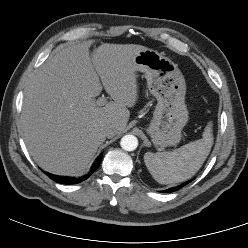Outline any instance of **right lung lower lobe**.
Here are the masks:
<instances>
[{
  "label": "right lung lower lobe",
  "instance_id": "right-lung-lower-lobe-1",
  "mask_svg": "<svg viewBox=\"0 0 248 248\" xmlns=\"http://www.w3.org/2000/svg\"><path fill=\"white\" fill-rule=\"evenodd\" d=\"M102 160V154H100L97 159L95 160V162L93 163L91 170L89 171V173L87 175H84L82 177L79 178H73V177H66V176H57V175H53L50 173H46V175L49 176L50 179H52L55 182L61 183V184H77L80 183L86 179H88L99 167L100 163Z\"/></svg>",
  "mask_w": 248,
  "mask_h": 248
}]
</instances>
